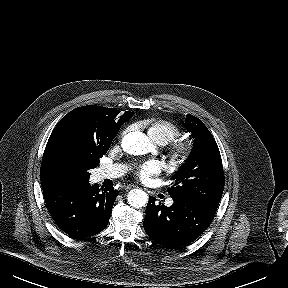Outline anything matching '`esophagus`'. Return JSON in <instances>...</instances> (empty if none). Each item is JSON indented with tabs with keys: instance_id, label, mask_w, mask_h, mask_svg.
<instances>
[{
	"instance_id": "esophagus-1",
	"label": "esophagus",
	"mask_w": 288,
	"mask_h": 288,
	"mask_svg": "<svg viewBox=\"0 0 288 288\" xmlns=\"http://www.w3.org/2000/svg\"><path fill=\"white\" fill-rule=\"evenodd\" d=\"M133 186H127L126 189H131Z\"/></svg>"
}]
</instances>
